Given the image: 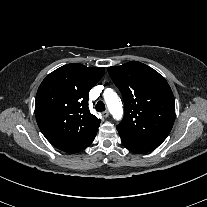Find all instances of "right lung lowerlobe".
Masks as SVG:
<instances>
[{
    "mask_svg": "<svg viewBox=\"0 0 207 207\" xmlns=\"http://www.w3.org/2000/svg\"><path fill=\"white\" fill-rule=\"evenodd\" d=\"M96 136V133L93 134L92 136H90L89 138H87L86 140H84L79 146H77L75 149L71 150V151H68L69 153H78L82 150H84L85 148H87L91 143L92 141L94 140Z\"/></svg>",
    "mask_w": 207,
    "mask_h": 207,
    "instance_id": "98d812e1",
    "label": "right lung lower lobe"
}]
</instances>
